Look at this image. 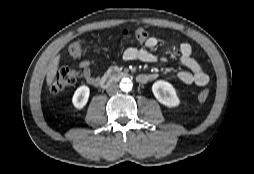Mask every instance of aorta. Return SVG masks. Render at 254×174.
I'll return each instance as SVG.
<instances>
[{
  "label": "aorta",
  "mask_w": 254,
  "mask_h": 174,
  "mask_svg": "<svg viewBox=\"0 0 254 174\" xmlns=\"http://www.w3.org/2000/svg\"><path fill=\"white\" fill-rule=\"evenodd\" d=\"M132 81L129 78H123L120 82V89L123 92H129L132 89Z\"/></svg>",
  "instance_id": "obj_1"
}]
</instances>
